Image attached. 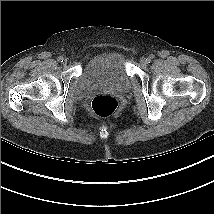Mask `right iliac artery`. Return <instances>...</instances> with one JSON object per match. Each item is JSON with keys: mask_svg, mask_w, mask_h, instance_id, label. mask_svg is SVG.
Here are the masks:
<instances>
[{"mask_svg": "<svg viewBox=\"0 0 214 214\" xmlns=\"http://www.w3.org/2000/svg\"><path fill=\"white\" fill-rule=\"evenodd\" d=\"M64 58L62 56L58 57L59 62H63Z\"/></svg>", "mask_w": 214, "mask_h": 214, "instance_id": "1", "label": "right iliac artery"}]
</instances>
